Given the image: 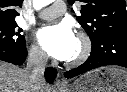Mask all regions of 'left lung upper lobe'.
Here are the masks:
<instances>
[{
    "label": "left lung upper lobe",
    "instance_id": "left-lung-upper-lobe-1",
    "mask_svg": "<svg viewBox=\"0 0 127 92\" xmlns=\"http://www.w3.org/2000/svg\"><path fill=\"white\" fill-rule=\"evenodd\" d=\"M83 5L78 22L89 35L92 45L104 35H127L125 0H80ZM70 4L74 0H68Z\"/></svg>",
    "mask_w": 127,
    "mask_h": 92
}]
</instances>
